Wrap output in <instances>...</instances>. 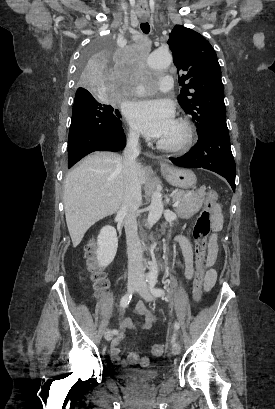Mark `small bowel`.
Segmentation results:
<instances>
[{"label":"small bowel","mask_w":275,"mask_h":409,"mask_svg":"<svg viewBox=\"0 0 275 409\" xmlns=\"http://www.w3.org/2000/svg\"><path fill=\"white\" fill-rule=\"evenodd\" d=\"M223 224V217L221 209L219 206L215 207L213 215V233L210 238L208 254L205 260V267L209 270L207 271V277L205 281V289L209 290L213 287L216 282V272L211 269L215 263L217 257V233L221 230ZM176 242L179 244L183 258H184V274L187 280H191L194 275L193 269V250L190 241L187 237L179 235L176 237ZM176 264L180 266V262L175 260ZM214 274V279H211L210 276ZM135 311L140 315V319L136 320L130 317H127L123 320V325L128 329H150L157 322L158 317L151 312L145 302L139 301L135 306ZM122 334L116 336L111 342L110 346V355L114 362L121 366L139 364L141 366H146L149 363L147 358H139L137 354L131 353L127 358L122 359L120 356V342L122 339ZM143 360H147L146 363H143Z\"/></svg>","instance_id":"obj_1"}]
</instances>
